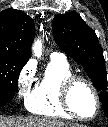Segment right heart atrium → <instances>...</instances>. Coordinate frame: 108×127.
Returning <instances> with one entry per match:
<instances>
[{
    "label": "right heart atrium",
    "mask_w": 108,
    "mask_h": 127,
    "mask_svg": "<svg viewBox=\"0 0 108 127\" xmlns=\"http://www.w3.org/2000/svg\"><path fill=\"white\" fill-rule=\"evenodd\" d=\"M35 69L32 63L28 62L23 66L17 77V92L21 98H26L28 90L34 80Z\"/></svg>",
    "instance_id": "obj_1"
}]
</instances>
